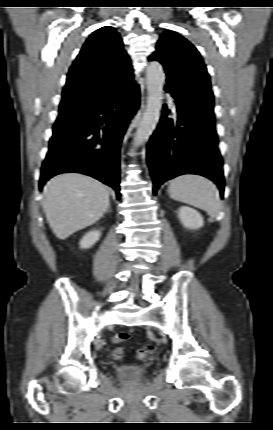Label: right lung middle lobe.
<instances>
[{"label":"right lung middle lobe","instance_id":"obj_1","mask_svg":"<svg viewBox=\"0 0 273 430\" xmlns=\"http://www.w3.org/2000/svg\"><path fill=\"white\" fill-rule=\"evenodd\" d=\"M83 116V109H77L72 107L59 109V116L54 124L53 130L57 131L70 126H73L79 122Z\"/></svg>","mask_w":273,"mask_h":430}]
</instances>
